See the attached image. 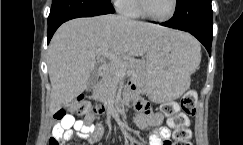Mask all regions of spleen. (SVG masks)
Masks as SVG:
<instances>
[{"label": "spleen", "instance_id": "obj_1", "mask_svg": "<svg viewBox=\"0 0 243 145\" xmlns=\"http://www.w3.org/2000/svg\"><path fill=\"white\" fill-rule=\"evenodd\" d=\"M200 60H201V55L200 53L198 54V58H197V65L200 63Z\"/></svg>", "mask_w": 243, "mask_h": 145}]
</instances>
